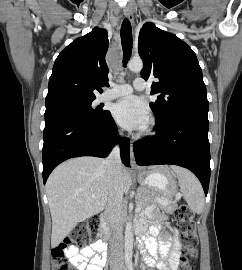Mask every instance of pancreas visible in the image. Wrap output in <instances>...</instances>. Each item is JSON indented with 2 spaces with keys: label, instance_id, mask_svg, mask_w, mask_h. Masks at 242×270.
I'll return each instance as SVG.
<instances>
[{
  "label": "pancreas",
  "instance_id": "obj_1",
  "mask_svg": "<svg viewBox=\"0 0 242 270\" xmlns=\"http://www.w3.org/2000/svg\"><path fill=\"white\" fill-rule=\"evenodd\" d=\"M164 202L167 201L159 199L156 193L144 188L140 189L136 196V203L142 210H144L150 204H158L160 208L167 213H173L177 208L176 204H164Z\"/></svg>",
  "mask_w": 242,
  "mask_h": 270
}]
</instances>
